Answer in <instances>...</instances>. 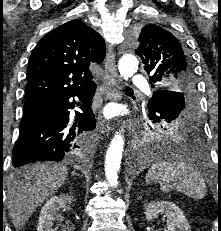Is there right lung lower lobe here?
I'll return each instance as SVG.
<instances>
[{"mask_svg":"<svg viewBox=\"0 0 221 231\" xmlns=\"http://www.w3.org/2000/svg\"><path fill=\"white\" fill-rule=\"evenodd\" d=\"M95 87L77 91L59 92L38 97L24 103L19 139L13 148V166L36 161H59L70 158L84 148L86 132L96 126L91 100ZM82 101L83 113L71 127L69 109L74 98ZM80 105V104H78Z\"/></svg>","mask_w":221,"mask_h":231,"instance_id":"98d812e1","label":"right lung lower lobe"}]
</instances>
